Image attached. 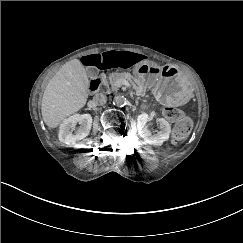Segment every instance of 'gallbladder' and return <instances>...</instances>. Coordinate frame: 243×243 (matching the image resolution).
<instances>
[{
  "instance_id": "gallbladder-1",
  "label": "gallbladder",
  "mask_w": 243,
  "mask_h": 243,
  "mask_svg": "<svg viewBox=\"0 0 243 243\" xmlns=\"http://www.w3.org/2000/svg\"><path fill=\"white\" fill-rule=\"evenodd\" d=\"M86 74L89 76H95L98 74V69L93 66H88L86 69Z\"/></svg>"
}]
</instances>
